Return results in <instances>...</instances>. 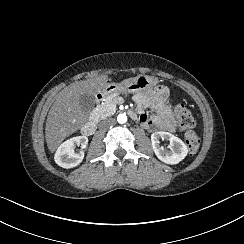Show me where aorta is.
Listing matches in <instances>:
<instances>
[{
  "label": "aorta",
  "instance_id": "aorta-1",
  "mask_svg": "<svg viewBox=\"0 0 244 244\" xmlns=\"http://www.w3.org/2000/svg\"><path fill=\"white\" fill-rule=\"evenodd\" d=\"M117 121L120 124H124V123L127 122V116L125 114H119L118 117H117Z\"/></svg>",
  "mask_w": 244,
  "mask_h": 244
}]
</instances>
